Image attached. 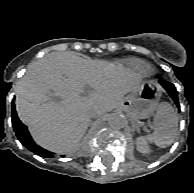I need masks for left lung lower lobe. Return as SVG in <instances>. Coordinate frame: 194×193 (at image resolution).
I'll return each instance as SVG.
<instances>
[{"mask_svg": "<svg viewBox=\"0 0 194 193\" xmlns=\"http://www.w3.org/2000/svg\"><path fill=\"white\" fill-rule=\"evenodd\" d=\"M160 83L166 89V91L169 93V95L172 97V99L174 100L177 107H179V102H178V98H177V91H176V88L174 87V85L170 82H167V81H160Z\"/></svg>", "mask_w": 194, "mask_h": 193, "instance_id": "0a47b994", "label": "left lung lower lobe"}]
</instances>
